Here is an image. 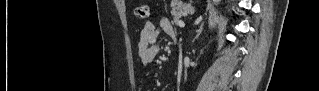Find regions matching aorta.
Returning a JSON list of instances; mask_svg holds the SVG:
<instances>
[{
    "instance_id": "obj_1",
    "label": "aorta",
    "mask_w": 319,
    "mask_h": 91,
    "mask_svg": "<svg viewBox=\"0 0 319 91\" xmlns=\"http://www.w3.org/2000/svg\"><path fill=\"white\" fill-rule=\"evenodd\" d=\"M214 2H215L216 4H218V3L220 2V0H214Z\"/></svg>"
}]
</instances>
